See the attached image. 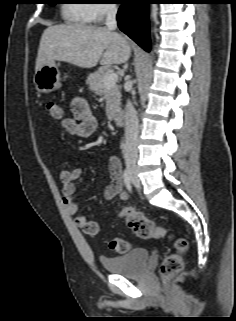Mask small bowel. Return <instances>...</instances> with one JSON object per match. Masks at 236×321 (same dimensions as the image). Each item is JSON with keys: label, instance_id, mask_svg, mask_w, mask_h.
I'll return each mask as SVG.
<instances>
[{"label": "small bowel", "instance_id": "obj_1", "mask_svg": "<svg viewBox=\"0 0 236 321\" xmlns=\"http://www.w3.org/2000/svg\"><path fill=\"white\" fill-rule=\"evenodd\" d=\"M71 111L73 116L64 118L60 126L63 132L68 136H76L78 138H88L92 136L97 128V122L91 113L86 98L77 96L71 101ZM110 184L104 191L105 199L119 197L126 199L127 194L123 190L122 184V167L117 156H110L108 161ZM82 169L75 166L72 169L61 168L60 180L62 182L63 203L66 211L74 216V223L85 233L94 235L98 232V223L88 220L84 215L78 213V206L75 201V195L78 190L76 181L81 177Z\"/></svg>", "mask_w": 236, "mask_h": 321}]
</instances>
